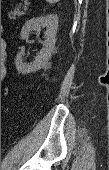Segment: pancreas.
I'll list each match as a JSON object with an SVG mask.
<instances>
[{
    "instance_id": "pancreas-1",
    "label": "pancreas",
    "mask_w": 109,
    "mask_h": 170,
    "mask_svg": "<svg viewBox=\"0 0 109 170\" xmlns=\"http://www.w3.org/2000/svg\"><path fill=\"white\" fill-rule=\"evenodd\" d=\"M26 11H27V6H24L23 10H21L19 7L15 8L13 11L9 13V17L11 19H16V17H20L24 15Z\"/></svg>"
}]
</instances>
